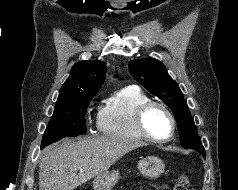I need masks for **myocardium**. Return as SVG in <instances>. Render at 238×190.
I'll return each instance as SVG.
<instances>
[{"instance_id":"1","label":"myocardium","mask_w":238,"mask_h":190,"mask_svg":"<svg viewBox=\"0 0 238 190\" xmlns=\"http://www.w3.org/2000/svg\"><path fill=\"white\" fill-rule=\"evenodd\" d=\"M154 108L161 109L168 116L170 120V125H171L170 132L165 137H156L152 135L146 127V122H145L146 116L149 113V111H151ZM135 123H136L137 129L139 130V132L145 139L152 142H157V143H164L169 141L174 136V133L176 130V120L171 110L163 103L152 101V100L145 102L137 109L135 114Z\"/></svg>"}]
</instances>
